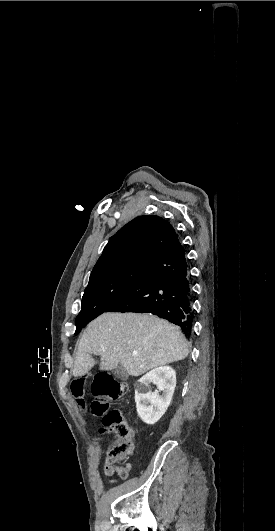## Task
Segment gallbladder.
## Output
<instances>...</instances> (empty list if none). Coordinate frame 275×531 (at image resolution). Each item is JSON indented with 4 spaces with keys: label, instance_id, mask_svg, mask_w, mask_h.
Segmentation results:
<instances>
[{
    "label": "gallbladder",
    "instance_id": "obj_1",
    "mask_svg": "<svg viewBox=\"0 0 275 531\" xmlns=\"http://www.w3.org/2000/svg\"><path fill=\"white\" fill-rule=\"evenodd\" d=\"M113 375H115L116 379H120V381H127L129 377L126 369L120 363H118L117 369H114Z\"/></svg>",
    "mask_w": 275,
    "mask_h": 531
}]
</instances>
